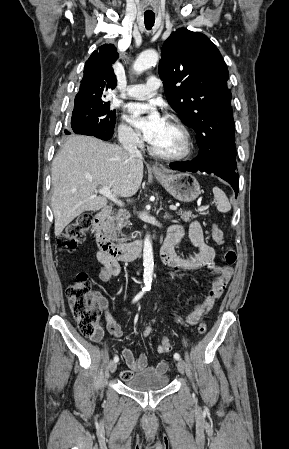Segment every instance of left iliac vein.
I'll return each instance as SVG.
<instances>
[{"mask_svg":"<svg viewBox=\"0 0 289 449\" xmlns=\"http://www.w3.org/2000/svg\"><path fill=\"white\" fill-rule=\"evenodd\" d=\"M177 369L181 374L185 373L186 370V364L183 360H178L177 362Z\"/></svg>","mask_w":289,"mask_h":449,"instance_id":"4c4485c4","label":"left iliac vein"}]
</instances>
